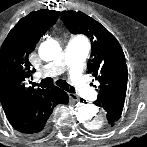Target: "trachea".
Wrapping results in <instances>:
<instances>
[{"mask_svg": "<svg viewBox=\"0 0 147 147\" xmlns=\"http://www.w3.org/2000/svg\"><path fill=\"white\" fill-rule=\"evenodd\" d=\"M51 84H52V79L51 78H45L40 82L39 86L41 88H46V87L50 86ZM33 85L36 86L37 84L33 83ZM57 85L60 86L61 88H63L64 90L68 91V92H71V93L74 92L73 88L68 83H66L65 81L59 80V81H57Z\"/></svg>", "mask_w": 147, "mask_h": 147, "instance_id": "1", "label": "trachea"}]
</instances>
